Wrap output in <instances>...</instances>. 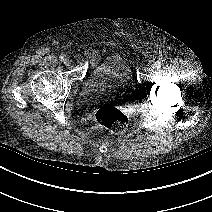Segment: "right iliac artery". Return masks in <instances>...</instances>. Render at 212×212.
<instances>
[{
	"label": "right iliac artery",
	"mask_w": 212,
	"mask_h": 212,
	"mask_svg": "<svg viewBox=\"0 0 212 212\" xmlns=\"http://www.w3.org/2000/svg\"><path fill=\"white\" fill-rule=\"evenodd\" d=\"M65 58H66V55H65V54H61V55L59 56V59H60L61 61H64Z\"/></svg>",
	"instance_id": "1"
}]
</instances>
